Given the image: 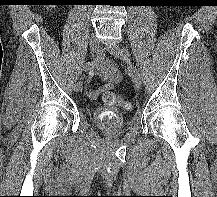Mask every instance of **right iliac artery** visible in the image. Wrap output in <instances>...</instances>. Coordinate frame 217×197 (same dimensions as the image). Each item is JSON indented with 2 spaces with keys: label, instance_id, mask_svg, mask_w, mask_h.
Here are the masks:
<instances>
[{
  "label": "right iliac artery",
  "instance_id": "obj_1",
  "mask_svg": "<svg viewBox=\"0 0 217 197\" xmlns=\"http://www.w3.org/2000/svg\"><path fill=\"white\" fill-rule=\"evenodd\" d=\"M94 56V55H93ZM100 56H101V52L100 51H97V56L94 60L92 61H89V62H86L83 66H82V71L83 72H87L89 71L90 69L94 68L98 62H99V59H100Z\"/></svg>",
  "mask_w": 217,
  "mask_h": 197
}]
</instances>
